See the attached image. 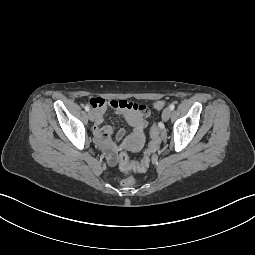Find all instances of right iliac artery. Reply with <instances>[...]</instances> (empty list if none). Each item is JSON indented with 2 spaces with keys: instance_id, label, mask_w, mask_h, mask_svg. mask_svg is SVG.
<instances>
[{
  "instance_id": "obj_1",
  "label": "right iliac artery",
  "mask_w": 255,
  "mask_h": 255,
  "mask_svg": "<svg viewBox=\"0 0 255 255\" xmlns=\"http://www.w3.org/2000/svg\"><path fill=\"white\" fill-rule=\"evenodd\" d=\"M84 108H85V110H86L87 112H88V111H89V109H90L88 105H85V107H84Z\"/></svg>"
}]
</instances>
